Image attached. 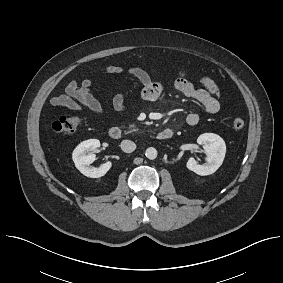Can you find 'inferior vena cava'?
I'll return each instance as SVG.
<instances>
[{
    "mask_svg": "<svg viewBox=\"0 0 283 283\" xmlns=\"http://www.w3.org/2000/svg\"><path fill=\"white\" fill-rule=\"evenodd\" d=\"M122 151L131 153L136 149V144L131 140H123L120 145Z\"/></svg>",
    "mask_w": 283,
    "mask_h": 283,
    "instance_id": "1",
    "label": "inferior vena cava"
}]
</instances>
